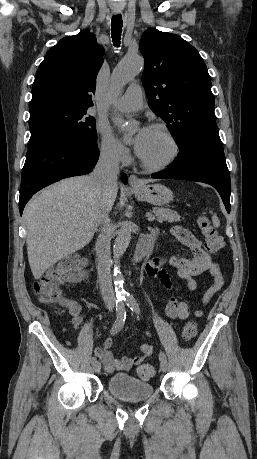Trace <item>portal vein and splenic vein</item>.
Wrapping results in <instances>:
<instances>
[{"mask_svg": "<svg viewBox=\"0 0 257 459\" xmlns=\"http://www.w3.org/2000/svg\"><path fill=\"white\" fill-rule=\"evenodd\" d=\"M154 219H155V217H154L153 215H150V214L148 215V221L151 222V221H153Z\"/></svg>", "mask_w": 257, "mask_h": 459, "instance_id": "1", "label": "portal vein and splenic vein"}]
</instances>
